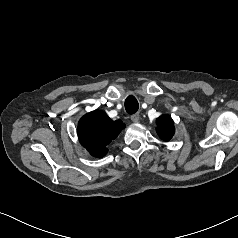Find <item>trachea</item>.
I'll use <instances>...</instances> for the list:
<instances>
[{
    "label": "trachea",
    "instance_id": "obj_1",
    "mask_svg": "<svg viewBox=\"0 0 238 238\" xmlns=\"http://www.w3.org/2000/svg\"><path fill=\"white\" fill-rule=\"evenodd\" d=\"M125 109L129 114H134L137 112V110L139 109V104L134 96L130 95L126 98Z\"/></svg>",
    "mask_w": 238,
    "mask_h": 238
}]
</instances>
